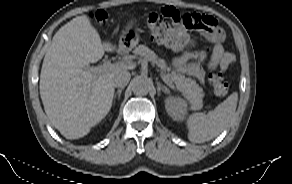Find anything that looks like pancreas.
Returning <instances> with one entry per match:
<instances>
[{"label": "pancreas", "mask_w": 292, "mask_h": 184, "mask_svg": "<svg viewBox=\"0 0 292 184\" xmlns=\"http://www.w3.org/2000/svg\"><path fill=\"white\" fill-rule=\"evenodd\" d=\"M134 53L143 57L146 61L156 64L163 72L171 71V68L167 66L165 60L158 58L157 55L145 45H139L136 47ZM165 76L168 79V84H175L176 89L189 101L193 110H199L202 108V98L204 97V93L203 89L195 80L186 78L184 75L178 74L175 71H171V73H168Z\"/></svg>", "instance_id": "cf45deb5"}]
</instances>
